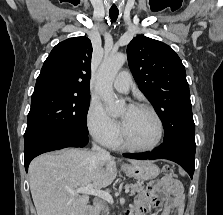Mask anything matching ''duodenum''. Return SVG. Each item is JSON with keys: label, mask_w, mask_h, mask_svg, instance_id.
Segmentation results:
<instances>
[{"label": "duodenum", "mask_w": 223, "mask_h": 215, "mask_svg": "<svg viewBox=\"0 0 223 215\" xmlns=\"http://www.w3.org/2000/svg\"><path fill=\"white\" fill-rule=\"evenodd\" d=\"M86 215H93L92 210L89 209L88 212L86 213Z\"/></svg>", "instance_id": "410a0bca"}]
</instances>
